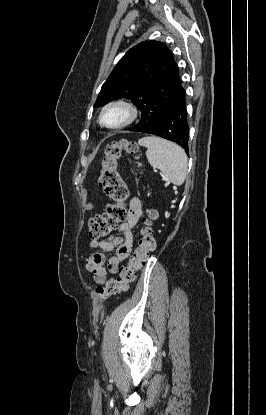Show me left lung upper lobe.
<instances>
[{
    "label": "left lung upper lobe",
    "instance_id": "obj_1",
    "mask_svg": "<svg viewBox=\"0 0 266 415\" xmlns=\"http://www.w3.org/2000/svg\"><path fill=\"white\" fill-rule=\"evenodd\" d=\"M179 68L168 47L145 41L131 48L103 84L94 107L128 98L142 118L130 131L142 132L157 122L183 92Z\"/></svg>",
    "mask_w": 266,
    "mask_h": 415
}]
</instances>
